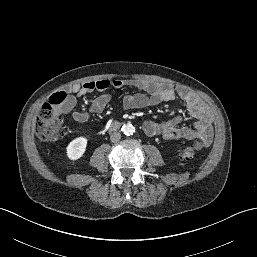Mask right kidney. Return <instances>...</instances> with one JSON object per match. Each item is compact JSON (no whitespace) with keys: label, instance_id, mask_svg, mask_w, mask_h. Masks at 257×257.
<instances>
[{"label":"right kidney","instance_id":"right-kidney-1","mask_svg":"<svg viewBox=\"0 0 257 257\" xmlns=\"http://www.w3.org/2000/svg\"><path fill=\"white\" fill-rule=\"evenodd\" d=\"M87 138L77 137L67 146V156L71 160H77L82 157L86 150Z\"/></svg>","mask_w":257,"mask_h":257}]
</instances>
